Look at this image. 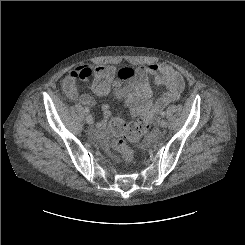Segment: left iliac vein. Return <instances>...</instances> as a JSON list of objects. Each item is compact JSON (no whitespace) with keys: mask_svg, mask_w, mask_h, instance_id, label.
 Masks as SVG:
<instances>
[{"mask_svg":"<svg viewBox=\"0 0 245 245\" xmlns=\"http://www.w3.org/2000/svg\"><path fill=\"white\" fill-rule=\"evenodd\" d=\"M159 125H160V127H162V128H166V127H167V121L164 120V119H162V120H160Z\"/></svg>","mask_w":245,"mask_h":245,"instance_id":"left-iliac-vein-1","label":"left iliac vein"}]
</instances>
